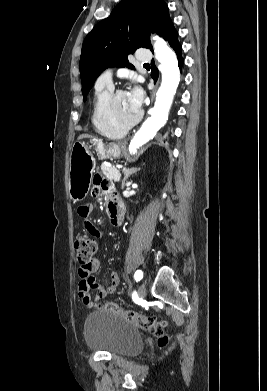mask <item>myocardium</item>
Here are the masks:
<instances>
[{"instance_id":"myocardium-1","label":"myocardium","mask_w":267,"mask_h":391,"mask_svg":"<svg viewBox=\"0 0 267 391\" xmlns=\"http://www.w3.org/2000/svg\"><path fill=\"white\" fill-rule=\"evenodd\" d=\"M126 93L124 90L122 89H118V90H115L113 91L110 96L108 97L107 99V102H106V109H107V114L110 118V120L118 127L120 128H123L125 130H128L130 128H132L133 126H135L137 123H139V121L141 120L142 118V112H139L138 115L130 120V121H122L118 118V116L116 115L115 113V109H114V103H115V99L121 95V94H124Z\"/></svg>"}]
</instances>
